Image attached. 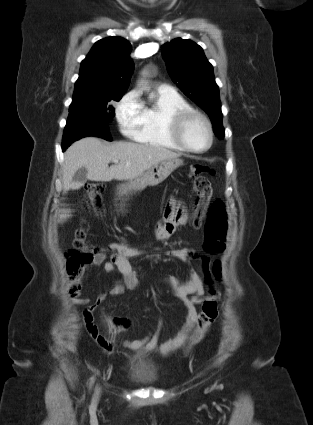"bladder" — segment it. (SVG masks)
Instances as JSON below:
<instances>
[{"label": "bladder", "mask_w": 313, "mask_h": 425, "mask_svg": "<svg viewBox=\"0 0 313 425\" xmlns=\"http://www.w3.org/2000/svg\"><path fill=\"white\" fill-rule=\"evenodd\" d=\"M129 376L132 380L142 384L155 382L157 374L144 358H136L131 361Z\"/></svg>", "instance_id": "obj_1"}]
</instances>
